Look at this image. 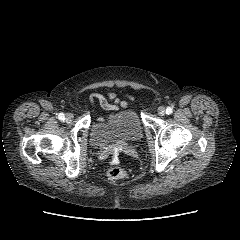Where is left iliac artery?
Here are the masks:
<instances>
[{
  "label": "left iliac artery",
  "instance_id": "44dca946",
  "mask_svg": "<svg viewBox=\"0 0 240 240\" xmlns=\"http://www.w3.org/2000/svg\"><path fill=\"white\" fill-rule=\"evenodd\" d=\"M173 112V109L171 107L166 108V114H171Z\"/></svg>",
  "mask_w": 240,
  "mask_h": 240
}]
</instances>
